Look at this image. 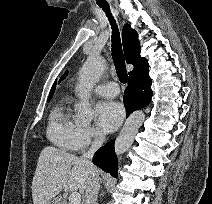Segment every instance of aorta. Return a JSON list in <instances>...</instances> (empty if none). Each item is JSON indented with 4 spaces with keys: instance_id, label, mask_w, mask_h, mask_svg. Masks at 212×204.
<instances>
[{
    "instance_id": "1",
    "label": "aorta",
    "mask_w": 212,
    "mask_h": 204,
    "mask_svg": "<svg viewBox=\"0 0 212 204\" xmlns=\"http://www.w3.org/2000/svg\"><path fill=\"white\" fill-rule=\"evenodd\" d=\"M106 61L99 55H90L79 71L77 93L79 102L75 104V113L78 120L89 123L93 119L94 111L90 104V92L101 78ZM145 115L142 111L133 112L125 122L115 142V152L120 155L132 145L138 129L142 125Z\"/></svg>"
}]
</instances>
